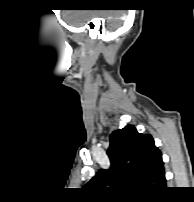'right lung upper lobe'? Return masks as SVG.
Segmentation results:
<instances>
[{
	"mask_svg": "<svg viewBox=\"0 0 194 202\" xmlns=\"http://www.w3.org/2000/svg\"><path fill=\"white\" fill-rule=\"evenodd\" d=\"M111 166L99 170L86 186L103 190L109 180L115 190L148 196L165 189L161 151L149 134L138 133L133 125L114 131L107 151Z\"/></svg>",
	"mask_w": 194,
	"mask_h": 202,
	"instance_id": "cb5924a9",
	"label": "right lung upper lobe"
}]
</instances>
